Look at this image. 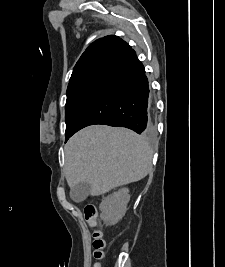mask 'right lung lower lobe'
Returning a JSON list of instances; mask_svg holds the SVG:
<instances>
[{
    "label": "right lung lower lobe",
    "mask_w": 225,
    "mask_h": 267,
    "mask_svg": "<svg viewBox=\"0 0 225 267\" xmlns=\"http://www.w3.org/2000/svg\"><path fill=\"white\" fill-rule=\"evenodd\" d=\"M94 124L152 133L148 79L133 49L120 54L93 88L76 116L71 136Z\"/></svg>",
    "instance_id": "obj_1"
}]
</instances>
